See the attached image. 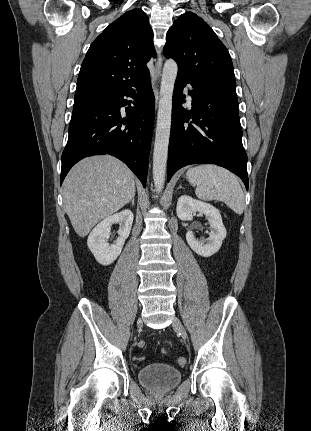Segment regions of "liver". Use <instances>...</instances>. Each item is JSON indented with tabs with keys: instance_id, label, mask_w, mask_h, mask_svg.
Returning a JSON list of instances; mask_svg holds the SVG:
<instances>
[{
	"instance_id": "liver-1",
	"label": "liver",
	"mask_w": 311,
	"mask_h": 431,
	"mask_svg": "<svg viewBox=\"0 0 311 431\" xmlns=\"http://www.w3.org/2000/svg\"><path fill=\"white\" fill-rule=\"evenodd\" d=\"M135 176L113 156L85 158L64 182L65 212L78 235L85 237L103 217L121 210L135 196Z\"/></svg>"
}]
</instances>
